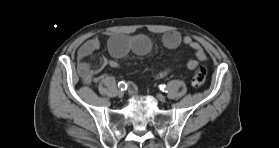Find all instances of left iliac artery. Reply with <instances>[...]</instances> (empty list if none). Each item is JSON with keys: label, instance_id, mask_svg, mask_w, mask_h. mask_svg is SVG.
Instances as JSON below:
<instances>
[{"label": "left iliac artery", "instance_id": "left-iliac-artery-1", "mask_svg": "<svg viewBox=\"0 0 279 148\" xmlns=\"http://www.w3.org/2000/svg\"><path fill=\"white\" fill-rule=\"evenodd\" d=\"M159 89H160L161 91H163V92H167V91H168V88H167V86H166L165 84L159 85Z\"/></svg>", "mask_w": 279, "mask_h": 148}]
</instances>
